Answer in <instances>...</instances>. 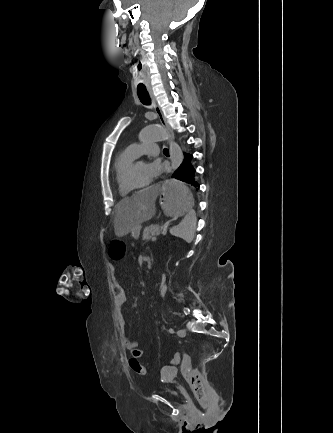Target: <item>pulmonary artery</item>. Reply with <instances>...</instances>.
Returning a JSON list of instances; mask_svg holds the SVG:
<instances>
[{"label": "pulmonary artery", "instance_id": "pulmonary-artery-1", "mask_svg": "<svg viewBox=\"0 0 333 433\" xmlns=\"http://www.w3.org/2000/svg\"><path fill=\"white\" fill-rule=\"evenodd\" d=\"M128 148L136 156L141 154L157 155L160 152L158 145L152 141L143 144L133 143L129 145Z\"/></svg>", "mask_w": 333, "mask_h": 433}]
</instances>
